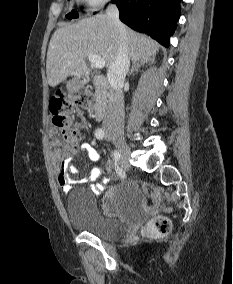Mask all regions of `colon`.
I'll use <instances>...</instances> for the list:
<instances>
[{
    "instance_id": "obj_1",
    "label": "colon",
    "mask_w": 233,
    "mask_h": 284,
    "mask_svg": "<svg viewBox=\"0 0 233 284\" xmlns=\"http://www.w3.org/2000/svg\"><path fill=\"white\" fill-rule=\"evenodd\" d=\"M93 105L92 98L88 95L78 96L72 100L56 98L52 101L50 109L53 124L60 130L63 138V147L67 153H74L81 138L79 129L69 118L74 108L90 109ZM170 221L164 216L151 220L145 227V232L155 236H165L170 231Z\"/></svg>"
}]
</instances>
